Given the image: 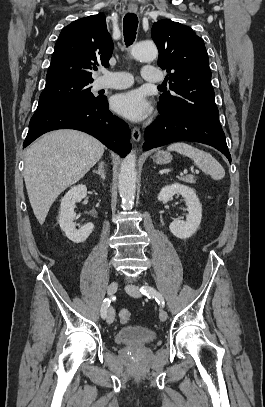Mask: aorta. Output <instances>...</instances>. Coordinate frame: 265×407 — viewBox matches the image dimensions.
Masks as SVG:
<instances>
[{"label":"aorta","instance_id":"762f6f07","mask_svg":"<svg viewBox=\"0 0 265 407\" xmlns=\"http://www.w3.org/2000/svg\"><path fill=\"white\" fill-rule=\"evenodd\" d=\"M131 52L136 60L142 62L153 61L158 56V50L151 42H139L132 47ZM118 189L123 207L132 208L136 191V155L133 151L121 164Z\"/></svg>","mask_w":265,"mask_h":407}]
</instances>
